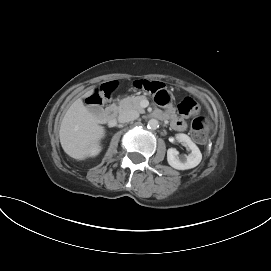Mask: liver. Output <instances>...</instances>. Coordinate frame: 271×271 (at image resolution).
<instances>
[{
    "instance_id": "liver-1",
    "label": "liver",
    "mask_w": 271,
    "mask_h": 271,
    "mask_svg": "<svg viewBox=\"0 0 271 271\" xmlns=\"http://www.w3.org/2000/svg\"><path fill=\"white\" fill-rule=\"evenodd\" d=\"M93 93L91 89L83 97ZM104 136L105 130L99 120L84 106L81 98L75 100L60 125L59 138L64 152L74 159L84 160Z\"/></svg>"
}]
</instances>
